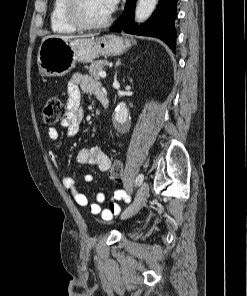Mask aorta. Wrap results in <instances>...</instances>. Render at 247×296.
I'll list each match as a JSON object with an SVG mask.
<instances>
[{
  "mask_svg": "<svg viewBox=\"0 0 247 296\" xmlns=\"http://www.w3.org/2000/svg\"><path fill=\"white\" fill-rule=\"evenodd\" d=\"M158 0H138L135 19L137 22H142L146 20L154 11ZM128 118V109L124 102L118 104L115 110V120L120 123H126Z\"/></svg>",
  "mask_w": 247,
  "mask_h": 296,
  "instance_id": "aorta-1",
  "label": "aorta"
}]
</instances>
